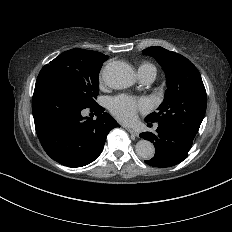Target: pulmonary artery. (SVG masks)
<instances>
[{
  "mask_svg": "<svg viewBox=\"0 0 232 232\" xmlns=\"http://www.w3.org/2000/svg\"><path fill=\"white\" fill-rule=\"evenodd\" d=\"M154 79L153 69L149 65H142L138 69V77L136 78V85L140 89H147Z\"/></svg>",
  "mask_w": 232,
  "mask_h": 232,
  "instance_id": "1",
  "label": "pulmonary artery"
}]
</instances>
